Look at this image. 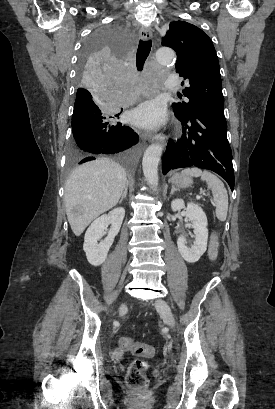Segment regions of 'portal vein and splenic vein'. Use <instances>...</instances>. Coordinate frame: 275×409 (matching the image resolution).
<instances>
[{
	"instance_id": "18ae733b",
	"label": "portal vein and splenic vein",
	"mask_w": 275,
	"mask_h": 409,
	"mask_svg": "<svg viewBox=\"0 0 275 409\" xmlns=\"http://www.w3.org/2000/svg\"><path fill=\"white\" fill-rule=\"evenodd\" d=\"M197 198H201V196H199V194H198Z\"/></svg>"
}]
</instances>
